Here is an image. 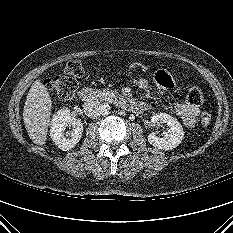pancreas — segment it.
<instances>
[{
    "instance_id": "obj_1",
    "label": "pancreas",
    "mask_w": 233,
    "mask_h": 233,
    "mask_svg": "<svg viewBox=\"0 0 233 233\" xmlns=\"http://www.w3.org/2000/svg\"><path fill=\"white\" fill-rule=\"evenodd\" d=\"M103 98H105L106 100H109L110 98H115L117 92L116 91H109L108 89H104L103 90Z\"/></svg>"
}]
</instances>
